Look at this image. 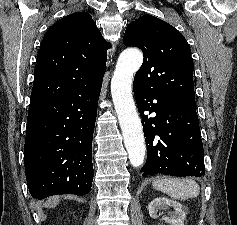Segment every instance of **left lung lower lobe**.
Wrapping results in <instances>:
<instances>
[{
  "label": "left lung lower lobe",
  "instance_id": "left-lung-lower-lobe-1",
  "mask_svg": "<svg viewBox=\"0 0 237 225\" xmlns=\"http://www.w3.org/2000/svg\"><path fill=\"white\" fill-rule=\"evenodd\" d=\"M148 149L143 176H204V151L195 100L168 99L133 86ZM154 100V101H153ZM155 113L153 117L144 115Z\"/></svg>",
  "mask_w": 237,
  "mask_h": 225
}]
</instances>
